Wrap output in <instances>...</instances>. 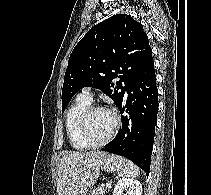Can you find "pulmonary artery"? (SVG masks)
Segmentation results:
<instances>
[{"label":"pulmonary artery","mask_w":211,"mask_h":195,"mask_svg":"<svg viewBox=\"0 0 211 195\" xmlns=\"http://www.w3.org/2000/svg\"><path fill=\"white\" fill-rule=\"evenodd\" d=\"M80 95H82L88 99H92V94L90 93L89 88L84 89Z\"/></svg>","instance_id":"obj_1"}]
</instances>
